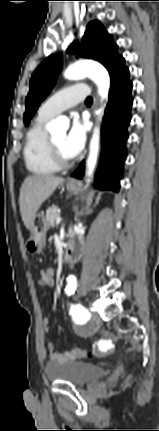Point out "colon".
I'll list each match as a JSON object with an SVG mask.
<instances>
[{
    "label": "colon",
    "mask_w": 159,
    "mask_h": 431,
    "mask_svg": "<svg viewBox=\"0 0 159 431\" xmlns=\"http://www.w3.org/2000/svg\"><path fill=\"white\" fill-rule=\"evenodd\" d=\"M48 266L52 267L51 277L47 278L48 283H49V289L54 290L57 287L56 278L53 277L55 275L56 267L53 264H49ZM86 356H89V354L87 353V350H82L81 358H85Z\"/></svg>",
    "instance_id": "5ec220e1"
}]
</instances>
